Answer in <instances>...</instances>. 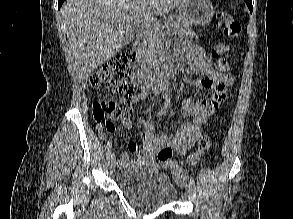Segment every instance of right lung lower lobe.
<instances>
[{"mask_svg": "<svg viewBox=\"0 0 293 219\" xmlns=\"http://www.w3.org/2000/svg\"><path fill=\"white\" fill-rule=\"evenodd\" d=\"M63 2H64V0H59V8L61 7Z\"/></svg>", "mask_w": 293, "mask_h": 219, "instance_id": "right-lung-lower-lobe-1", "label": "right lung lower lobe"}]
</instances>
